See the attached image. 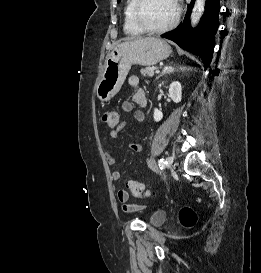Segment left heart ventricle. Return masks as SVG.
<instances>
[{"label": "left heart ventricle", "instance_id": "b2bd125f", "mask_svg": "<svg viewBox=\"0 0 261 273\" xmlns=\"http://www.w3.org/2000/svg\"><path fill=\"white\" fill-rule=\"evenodd\" d=\"M175 12L173 0H145L139 18L149 27H162L173 20Z\"/></svg>", "mask_w": 261, "mask_h": 273}]
</instances>
